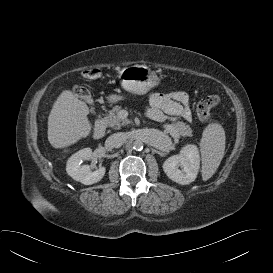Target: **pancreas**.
I'll use <instances>...</instances> for the list:
<instances>
[{"label": "pancreas", "mask_w": 273, "mask_h": 273, "mask_svg": "<svg viewBox=\"0 0 273 273\" xmlns=\"http://www.w3.org/2000/svg\"><path fill=\"white\" fill-rule=\"evenodd\" d=\"M120 109L119 106L114 107L107 116L108 125L115 130L131 123L129 119L121 118L119 116ZM163 127L166 133H170L175 138H179L180 136H192V129L190 126L181 121L165 124Z\"/></svg>", "instance_id": "1"}]
</instances>
